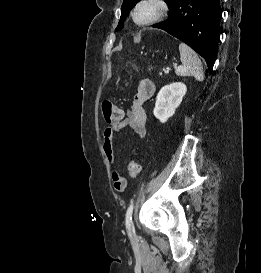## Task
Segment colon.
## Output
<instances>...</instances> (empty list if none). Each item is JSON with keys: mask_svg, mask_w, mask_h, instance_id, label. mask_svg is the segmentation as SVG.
<instances>
[{"mask_svg": "<svg viewBox=\"0 0 261 273\" xmlns=\"http://www.w3.org/2000/svg\"><path fill=\"white\" fill-rule=\"evenodd\" d=\"M102 112L104 119L109 124L117 123L122 115L121 109L112 101H104L102 103ZM141 171V165L137 159H133L128 163L127 166V176L131 179L137 177ZM125 179V178H124ZM116 187L119 190L125 188V182L123 180H118Z\"/></svg>", "mask_w": 261, "mask_h": 273, "instance_id": "obj_1", "label": "colon"}]
</instances>
